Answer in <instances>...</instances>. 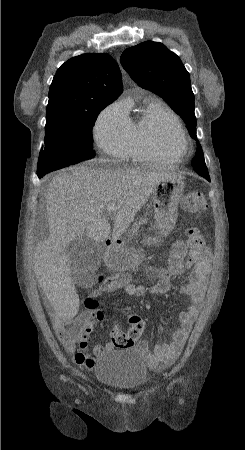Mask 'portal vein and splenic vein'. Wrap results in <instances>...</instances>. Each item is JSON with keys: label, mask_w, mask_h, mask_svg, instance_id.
I'll use <instances>...</instances> for the list:
<instances>
[{"label": "portal vein and splenic vein", "mask_w": 245, "mask_h": 450, "mask_svg": "<svg viewBox=\"0 0 245 450\" xmlns=\"http://www.w3.org/2000/svg\"><path fill=\"white\" fill-rule=\"evenodd\" d=\"M114 209H115L114 206H107L106 211H107L108 213H111V212H113Z\"/></svg>", "instance_id": "portal-vein-and-splenic-vein-1"}]
</instances>
